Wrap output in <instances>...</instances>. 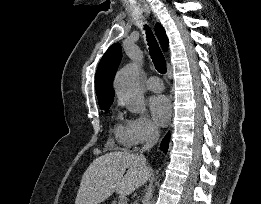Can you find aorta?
Masks as SVG:
<instances>
[{
    "label": "aorta",
    "instance_id": "obj_1",
    "mask_svg": "<svg viewBox=\"0 0 261 204\" xmlns=\"http://www.w3.org/2000/svg\"><path fill=\"white\" fill-rule=\"evenodd\" d=\"M115 88L118 98L125 102L129 111H145L144 95L139 83V67L136 63L126 65L117 73Z\"/></svg>",
    "mask_w": 261,
    "mask_h": 204
}]
</instances>
